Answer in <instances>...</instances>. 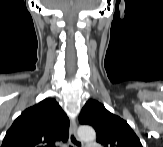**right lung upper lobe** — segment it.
<instances>
[{"mask_svg": "<svg viewBox=\"0 0 163 147\" xmlns=\"http://www.w3.org/2000/svg\"><path fill=\"white\" fill-rule=\"evenodd\" d=\"M69 136V119L47 98L22 112L7 131L1 147H54Z\"/></svg>", "mask_w": 163, "mask_h": 147, "instance_id": "cb5924a9", "label": "right lung upper lobe"}]
</instances>
